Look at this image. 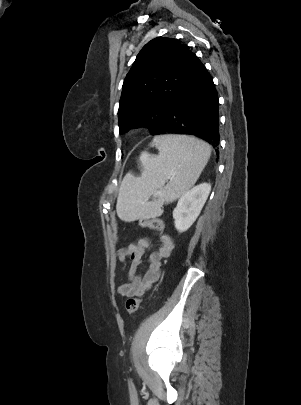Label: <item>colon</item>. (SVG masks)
<instances>
[{
  "label": "colon",
  "mask_w": 301,
  "mask_h": 405,
  "mask_svg": "<svg viewBox=\"0 0 301 405\" xmlns=\"http://www.w3.org/2000/svg\"><path fill=\"white\" fill-rule=\"evenodd\" d=\"M139 225L149 229L161 231L164 229V223L158 219H143L139 221ZM143 299L138 297H129L126 301V311L128 314H133L139 308Z\"/></svg>",
  "instance_id": "obj_1"
}]
</instances>
